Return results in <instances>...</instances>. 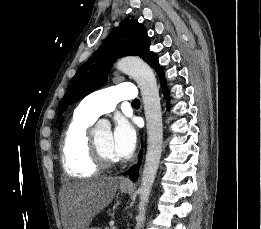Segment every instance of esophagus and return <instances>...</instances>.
Masks as SVG:
<instances>
[{
  "mask_svg": "<svg viewBox=\"0 0 261 229\" xmlns=\"http://www.w3.org/2000/svg\"><path fill=\"white\" fill-rule=\"evenodd\" d=\"M122 185L125 186H133V183L131 182V180L128 177H125L122 181H121Z\"/></svg>",
  "mask_w": 261,
  "mask_h": 229,
  "instance_id": "34e87169",
  "label": "esophagus"
}]
</instances>
